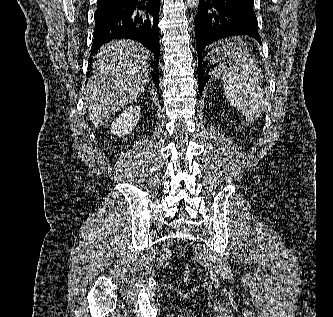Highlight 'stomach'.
Here are the masks:
<instances>
[{
	"mask_svg": "<svg viewBox=\"0 0 333 317\" xmlns=\"http://www.w3.org/2000/svg\"><path fill=\"white\" fill-rule=\"evenodd\" d=\"M209 51L211 55H207V62H219V68L212 75V82H259L225 80V75L232 74V71L222 69H242V62H255V55H247L248 45L244 41H213Z\"/></svg>",
	"mask_w": 333,
	"mask_h": 317,
	"instance_id": "1",
	"label": "stomach"
}]
</instances>
